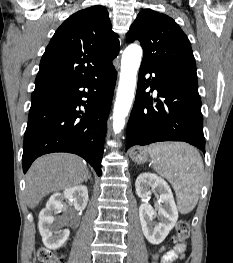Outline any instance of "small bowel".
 Segmentation results:
<instances>
[{
  "label": "small bowel",
  "instance_id": "small-bowel-1",
  "mask_svg": "<svg viewBox=\"0 0 233 263\" xmlns=\"http://www.w3.org/2000/svg\"><path fill=\"white\" fill-rule=\"evenodd\" d=\"M186 245L178 244L171 247L162 257L161 263H175L185 257Z\"/></svg>",
  "mask_w": 233,
  "mask_h": 263
}]
</instances>
